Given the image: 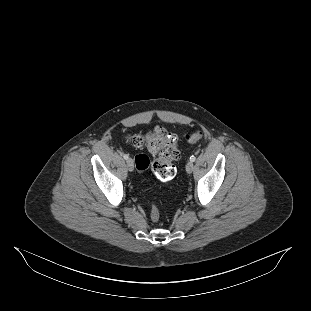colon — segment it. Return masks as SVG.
<instances>
[{
  "label": "colon",
  "mask_w": 311,
  "mask_h": 311,
  "mask_svg": "<svg viewBox=\"0 0 311 311\" xmlns=\"http://www.w3.org/2000/svg\"><path fill=\"white\" fill-rule=\"evenodd\" d=\"M202 137V132L196 130L187 133L185 140L190 144H195ZM128 140L136 147H146L155 156L152 163L145 154L136 156L135 163L138 174H144L151 165L156 177L162 181H169L175 176L176 170L173 161L178 158L179 154L174 136L165 128L157 126L146 133L132 135ZM150 217L153 222H158L160 219L159 209L153 202L151 203Z\"/></svg>",
  "instance_id": "1"
}]
</instances>
